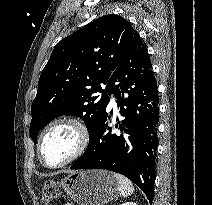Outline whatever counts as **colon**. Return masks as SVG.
<instances>
[{
	"instance_id": "colon-1",
	"label": "colon",
	"mask_w": 212,
	"mask_h": 205,
	"mask_svg": "<svg viewBox=\"0 0 212 205\" xmlns=\"http://www.w3.org/2000/svg\"><path fill=\"white\" fill-rule=\"evenodd\" d=\"M42 201L45 204L56 200L59 196V189L54 182H47L42 188Z\"/></svg>"
}]
</instances>
